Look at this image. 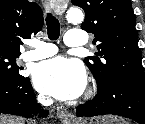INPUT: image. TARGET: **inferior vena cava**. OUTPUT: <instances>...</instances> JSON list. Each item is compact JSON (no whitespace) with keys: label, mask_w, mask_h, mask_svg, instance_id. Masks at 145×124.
<instances>
[{"label":"inferior vena cava","mask_w":145,"mask_h":124,"mask_svg":"<svg viewBox=\"0 0 145 124\" xmlns=\"http://www.w3.org/2000/svg\"><path fill=\"white\" fill-rule=\"evenodd\" d=\"M40 103L44 106H47V105L51 104L52 101L51 100H42V101H40Z\"/></svg>","instance_id":"inferior-vena-cava-1"}]
</instances>
